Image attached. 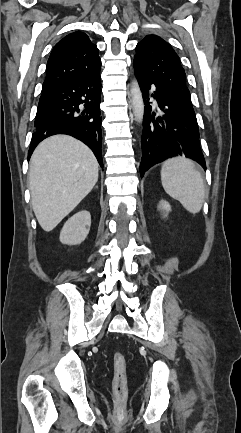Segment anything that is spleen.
<instances>
[{"instance_id":"spleen-1","label":"spleen","mask_w":241,"mask_h":433,"mask_svg":"<svg viewBox=\"0 0 241 433\" xmlns=\"http://www.w3.org/2000/svg\"><path fill=\"white\" fill-rule=\"evenodd\" d=\"M161 182L166 193L178 200L190 213L200 212L205 196L201 173L185 157L166 160L161 169Z\"/></svg>"}]
</instances>
